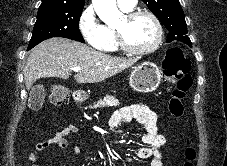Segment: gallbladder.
<instances>
[{
	"mask_svg": "<svg viewBox=\"0 0 227 166\" xmlns=\"http://www.w3.org/2000/svg\"><path fill=\"white\" fill-rule=\"evenodd\" d=\"M45 98V90L43 85H34L29 93L28 105L31 109L42 107Z\"/></svg>",
	"mask_w": 227,
	"mask_h": 166,
	"instance_id": "bac80fb5",
	"label": "gallbladder"
}]
</instances>
